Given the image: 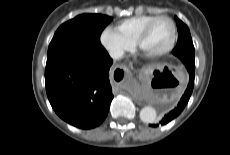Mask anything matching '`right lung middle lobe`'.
<instances>
[{"label":"right lung middle lobe","mask_w":230,"mask_h":155,"mask_svg":"<svg viewBox=\"0 0 230 155\" xmlns=\"http://www.w3.org/2000/svg\"><path fill=\"white\" fill-rule=\"evenodd\" d=\"M112 18L101 14H82L62 24L49 45L47 61L72 55L106 53L100 35Z\"/></svg>","instance_id":"dd1d6c3e"}]
</instances>
